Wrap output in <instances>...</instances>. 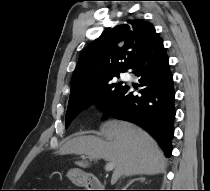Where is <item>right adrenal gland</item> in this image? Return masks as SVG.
<instances>
[{"instance_id":"right-adrenal-gland-1","label":"right adrenal gland","mask_w":210,"mask_h":191,"mask_svg":"<svg viewBox=\"0 0 210 191\" xmlns=\"http://www.w3.org/2000/svg\"><path fill=\"white\" fill-rule=\"evenodd\" d=\"M141 181L144 182L145 181V177H139V178H135L133 180H130L129 183L125 186L124 190H127V188L135 181Z\"/></svg>"}]
</instances>
